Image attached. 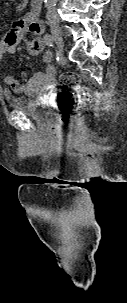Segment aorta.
I'll list each match as a JSON object with an SVG mask.
<instances>
[{
	"mask_svg": "<svg viewBox=\"0 0 127 303\" xmlns=\"http://www.w3.org/2000/svg\"><path fill=\"white\" fill-rule=\"evenodd\" d=\"M45 4L48 6H54L57 0H44Z\"/></svg>",
	"mask_w": 127,
	"mask_h": 303,
	"instance_id": "obj_1",
	"label": "aorta"
}]
</instances>
